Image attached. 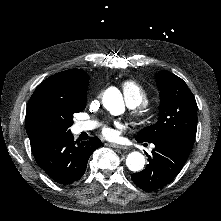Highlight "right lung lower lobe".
<instances>
[{
	"label": "right lung lower lobe",
	"mask_w": 221,
	"mask_h": 221,
	"mask_svg": "<svg viewBox=\"0 0 221 221\" xmlns=\"http://www.w3.org/2000/svg\"><path fill=\"white\" fill-rule=\"evenodd\" d=\"M101 145V141L94 137L76 144L70 134L59 141L32 149V152L50 178L66 185L83 176L90 155Z\"/></svg>",
	"instance_id": "obj_1"
}]
</instances>
